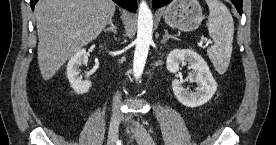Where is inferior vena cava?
<instances>
[{
	"label": "inferior vena cava",
	"mask_w": 276,
	"mask_h": 145,
	"mask_svg": "<svg viewBox=\"0 0 276 145\" xmlns=\"http://www.w3.org/2000/svg\"><path fill=\"white\" fill-rule=\"evenodd\" d=\"M120 105H121V95L117 92L116 95L113 97L112 112L114 116H119L121 114Z\"/></svg>",
	"instance_id": "602c4592"
}]
</instances>
